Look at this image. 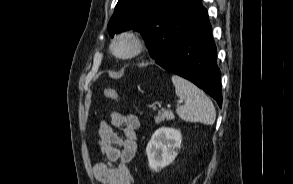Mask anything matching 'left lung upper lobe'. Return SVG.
<instances>
[{
  "label": "left lung upper lobe",
  "mask_w": 293,
  "mask_h": 184,
  "mask_svg": "<svg viewBox=\"0 0 293 184\" xmlns=\"http://www.w3.org/2000/svg\"><path fill=\"white\" fill-rule=\"evenodd\" d=\"M183 0H119L108 24L111 37L129 29L139 31L152 57L159 51L170 27L173 11Z\"/></svg>",
  "instance_id": "obj_1"
}]
</instances>
